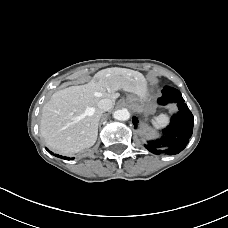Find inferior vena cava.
Wrapping results in <instances>:
<instances>
[{
	"label": "inferior vena cava",
	"mask_w": 228,
	"mask_h": 228,
	"mask_svg": "<svg viewBox=\"0 0 228 228\" xmlns=\"http://www.w3.org/2000/svg\"><path fill=\"white\" fill-rule=\"evenodd\" d=\"M98 108L102 111H108L112 108V101L108 98L101 99L98 102Z\"/></svg>",
	"instance_id": "1"
}]
</instances>
